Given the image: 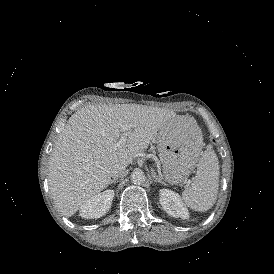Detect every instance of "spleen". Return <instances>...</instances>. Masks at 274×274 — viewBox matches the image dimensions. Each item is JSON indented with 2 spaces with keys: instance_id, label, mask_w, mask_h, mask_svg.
Here are the masks:
<instances>
[{
  "instance_id": "obj_1",
  "label": "spleen",
  "mask_w": 274,
  "mask_h": 274,
  "mask_svg": "<svg viewBox=\"0 0 274 274\" xmlns=\"http://www.w3.org/2000/svg\"><path fill=\"white\" fill-rule=\"evenodd\" d=\"M199 142H202V135L198 131ZM196 150V149H195ZM201 155V157H200ZM197 173L194 181L182 193V201L185 206L198 212L209 210L217 198L219 182V163L213 151L195 153Z\"/></svg>"
}]
</instances>
